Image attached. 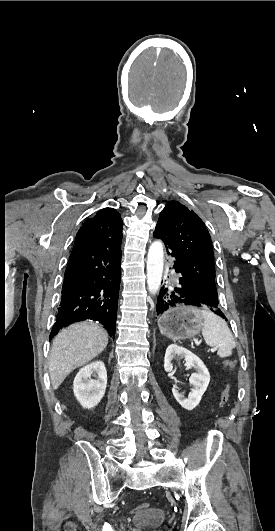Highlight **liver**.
<instances>
[{"instance_id": "obj_1", "label": "liver", "mask_w": 275, "mask_h": 531, "mask_svg": "<svg viewBox=\"0 0 275 531\" xmlns=\"http://www.w3.org/2000/svg\"><path fill=\"white\" fill-rule=\"evenodd\" d=\"M108 345V335L96 323H75L56 335L51 347L49 373L53 389L67 375L98 357Z\"/></svg>"}]
</instances>
